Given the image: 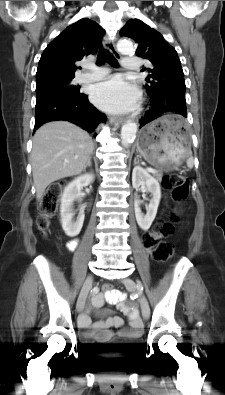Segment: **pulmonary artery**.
<instances>
[{"mask_svg": "<svg viewBox=\"0 0 225 395\" xmlns=\"http://www.w3.org/2000/svg\"><path fill=\"white\" fill-rule=\"evenodd\" d=\"M122 65L126 70H137L139 68V59L137 57H125ZM108 74L105 68L91 67V71L82 74L78 80L82 83L94 82L104 79Z\"/></svg>", "mask_w": 225, "mask_h": 395, "instance_id": "pulmonary-artery-1", "label": "pulmonary artery"}]
</instances>
